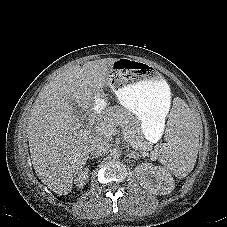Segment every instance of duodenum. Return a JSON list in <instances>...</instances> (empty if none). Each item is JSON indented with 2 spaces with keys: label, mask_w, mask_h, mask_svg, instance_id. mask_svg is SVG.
Returning <instances> with one entry per match:
<instances>
[{
  "label": "duodenum",
  "mask_w": 227,
  "mask_h": 227,
  "mask_svg": "<svg viewBox=\"0 0 227 227\" xmlns=\"http://www.w3.org/2000/svg\"><path fill=\"white\" fill-rule=\"evenodd\" d=\"M102 113L100 112H96L94 113L91 117H90V122L95 124L99 121L100 117H101Z\"/></svg>",
  "instance_id": "410a0bca"
}]
</instances>
